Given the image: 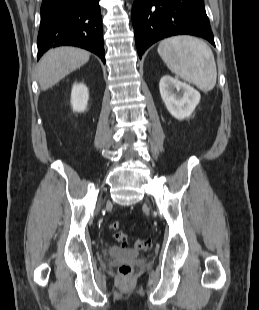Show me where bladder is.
I'll use <instances>...</instances> for the list:
<instances>
[{
    "instance_id": "31cf9c89",
    "label": "bladder",
    "mask_w": 259,
    "mask_h": 310,
    "mask_svg": "<svg viewBox=\"0 0 259 310\" xmlns=\"http://www.w3.org/2000/svg\"><path fill=\"white\" fill-rule=\"evenodd\" d=\"M107 255L111 258L132 260L138 258L140 256V253L137 251L125 249L118 246H111L107 250Z\"/></svg>"
}]
</instances>
